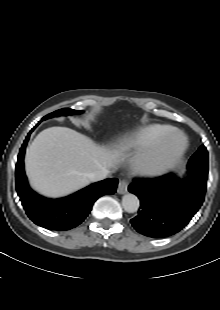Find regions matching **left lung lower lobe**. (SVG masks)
Wrapping results in <instances>:
<instances>
[{
  "label": "left lung lower lobe",
  "mask_w": 220,
  "mask_h": 310,
  "mask_svg": "<svg viewBox=\"0 0 220 310\" xmlns=\"http://www.w3.org/2000/svg\"><path fill=\"white\" fill-rule=\"evenodd\" d=\"M208 172L189 171L185 178L173 173L154 179H134L128 190L140 199V210L131 219L139 233L162 238L184 228L201 207Z\"/></svg>",
  "instance_id": "obj_1"
}]
</instances>
